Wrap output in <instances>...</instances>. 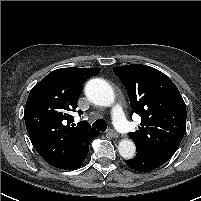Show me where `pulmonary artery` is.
<instances>
[{"label":"pulmonary artery","instance_id":"pulmonary-artery-1","mask_svg":"<svg viewBox=\"0 0 201 201\" xmlns=\"http://www.w3.org/2000/svg\"><path fill=\"white\" fill-rule=\"evenodd\" d=\"M112 117L115 126L121 133H127L130 129V123L126 120L123 110L120 106H116L112 111Z\"/></svg>","mask_w":201,"mask_h":201}]
</instances>
